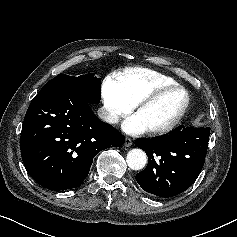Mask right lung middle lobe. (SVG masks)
Here are the masks:
<instances>
[{"mask_svg": "<svg viewBox=\"0 0 237 237\" xmlns=\"http://www.w3.org/2000/svg\"><path fill=\"white\" fill-rule=\"evenodd\" d=\"M100 89V79L90 73L78 77L59 74L47 82L41 90L70 91L89 103L98 104L101 99Z\"/></svg>", "mask_w": 237, "mask_h": 237, "instance_id": "1", "label": "right lung middle lobe"}]
</instances>
